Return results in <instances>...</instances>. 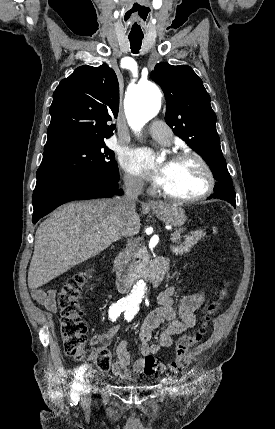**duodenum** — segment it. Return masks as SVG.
<instances>
[{"label":"duodenum","instance_id":"duodenum-1","mask_svg":"<svg viewBox=\"0 0 275 429\" xmlns=\"http://www.w3.org/2000/svg\"><path fill=\"white\" fill-rule=\"evenodd\" d=\"M127 262L128 254L126 252H121L114 260L116 285L121 292H128L133 284V278L128 271ZM167 269L168 263L165 260L155 262L148 278L152 287H157L161 283Z\"/></svg>","mask_w":275,"mask_h":429}]
</instances>
